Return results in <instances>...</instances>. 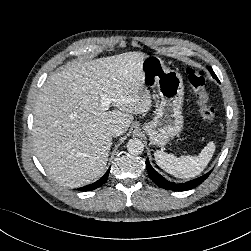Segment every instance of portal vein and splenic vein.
Segmentation results:
<instances>
[{
  "mask_svg": "<svg viewBox=\"0 0 251 251\" xmlns=\"http://www.w3.org/2000/svg\"><path fill=\"white\" fill-rule=\"evenodd\" d=\"M114 101L112 98H108L105 95L101 96V108L103 111L109 109L111 102Z\"/></svg>",
  "mask_w": 251,
  "mask_h": 251,
  "instance_id": "18ae733b",
  "label": "portal vein and splenic vein"
}]
</instances>
